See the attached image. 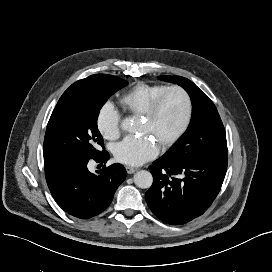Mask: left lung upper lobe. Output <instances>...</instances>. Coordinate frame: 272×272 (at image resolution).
I'll return each instance as SVG.
<instances>
[{"instance_id": "1", "label": "left lung upper lobe", "mask_w": 272, "mask_h": 272, "mask_svg": "<svg viewBox=\"0 0 272 272\" xmlns=\"http://www.w3.org/2000/svg\"><path fill=\"white\" fill-rule=\"evenodd\" d=\"M158 78L182 86L190 95L193 106L189 128L163 157L196 159L227 155L225 129L213 102L187 78L180 76Z\"/></svg>"}]
</instances>
